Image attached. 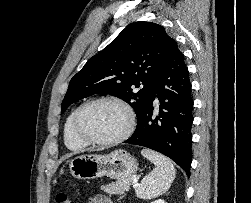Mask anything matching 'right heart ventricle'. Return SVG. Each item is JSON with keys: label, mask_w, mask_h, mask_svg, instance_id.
<instances>
[{"label": "right heart ventricle", "mask_w": 251, "mask_h": 203, "mask_svg": "<svg viewBox=\"0 0 251 203\" xmlns=\"http://www.w3.org/2000/svg\"><path fill=\"white\" fill-rule=\"evenodd\" d=\"M77 109H74L67 116L63 126V138L66 147L72 151H80L87 147V144L80 141L73 133L72 121Z\"/></svg>", "instance_id": "1"}]
</instances>
